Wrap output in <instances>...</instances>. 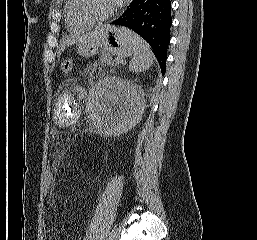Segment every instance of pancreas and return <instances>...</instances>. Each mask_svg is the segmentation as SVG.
<instances>
[{
  "instance_id": "pancreas-1",
  "label": "pancreas",
  "mask_w": 257,
  "mask_h": 240,
  "mask_svg": "<svg viewBox=\"0 0 257 240\" xmlns=\"http://www.w3.org/2000/svg\"><path fill=\"white\" fill-rule=\"evenodd\" d=\"M100 61L103 65H108L114 67L117 65V62L112 59V56L108 53H102L100 57Z\"/></svg>"
}]
</instances>
